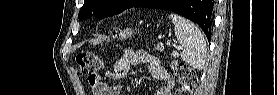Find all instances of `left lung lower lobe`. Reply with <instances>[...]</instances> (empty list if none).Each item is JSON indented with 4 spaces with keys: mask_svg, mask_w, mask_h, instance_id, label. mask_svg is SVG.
Listing matches in <instances>:
<instances>
[{
    "mask_svg": "<svg viewBox=\"0 0 277 95\" xmlns=\"http://www.w3.org/2000/svg\"><path fill=\"white\" fill-rule=\"evenodd\" d=\"M134 7H148L174 11L197 23L208 40L211 39L213 0H176L171 6L161 8L159 0H140Z\"/></svg>",
    "mask_w": 277,
    "mask_h": 95,
    "instance_id": "1",
    "label": "left lung lower lobe"
}]
</instances>
